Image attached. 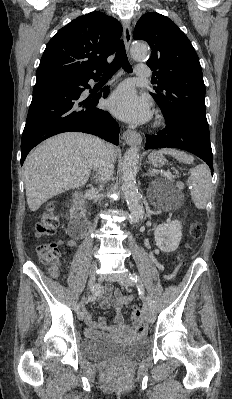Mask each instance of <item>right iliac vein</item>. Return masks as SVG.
<instances>
[{
  "label": "right iliac vein",
  "instance_id": "obj_1",
  "mask_svg": "<svg viewBox=\"0 0 232 399\" xmlns=\"http://www.w3.org/2000/svg\"><path fill=\"white\" fill-rule=\"evenodd\" d=\"M92 269L93 270L91 271V275L89 276L88 285H95V283H96V269H97V266L93 265ZM78 319H85V314H84L83 311L79 312Z\"/></svg>",
  "mask_w": 232,
  "mask_h": 399
}]
</instances>
